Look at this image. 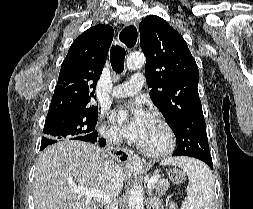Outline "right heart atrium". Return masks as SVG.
Masks as SVG:
<instances>
[{
  "mask_svg": "<svg viewBox=\"0 0 253 209\" xmlns=\"http://www.w3.org/2000/svg\"><path fill=\"white\" fill-rule=\"evenodd\" d=\"M99 132L109 142L115 143L119 140V135L117 131L113 127L108 126L105 123L101 124Z\"/></svg>",
  "mask_w": 253,
  "mask_h": 209,
  "instance_id": "right-heart-atrium-1",
  "label": "right heart atrium"
}]
</instances>
